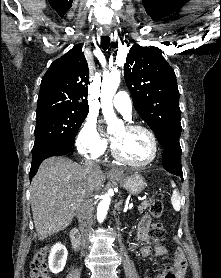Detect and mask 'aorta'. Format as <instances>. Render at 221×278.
I'll return each mask as SVG.
<instances>
[{"label":"aorta","instance_id":"762f6f07","mask_svg":"<svg viewBox=\"0 0 221 278\" xmlns=\"http://www.w3.org/2000/svg\"><path fill=\"white\" fill-rule=\"evenodd\" d=\"M120 83V72L112 70L103 77L100 93V101L102 113L106 120L114 119L115 113L113 109V96L115 95ZM111 203V192L103 195L97 207V220L102 223L107 215L109 205Z\"/></svg>","mask_w":221,"mask_h":278}]
</instances>
